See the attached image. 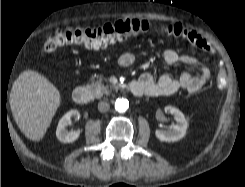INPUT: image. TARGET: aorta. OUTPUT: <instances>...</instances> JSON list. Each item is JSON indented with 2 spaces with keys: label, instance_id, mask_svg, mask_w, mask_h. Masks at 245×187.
I'll return each mask as SVG.
<instances>
[{
  "label": "aorta",
  "instance_id": "aorta-1",
  "mask_svg": "<svg viewBox=\"0 0 245 187\" xmlns=\"http://www.w3.org/2000/svg\"><path fill=\"white\" fill-rule=\"evenodd\" d=\"M129 107V101L125 98H118L115 101V109L116 111L123 113L125 112Z\"/></svg>",
  "mask_w": 245,
  "mask_h": 187
}]
</instances>
